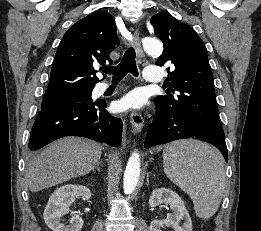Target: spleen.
<instances>
[{"label":"spleen","mask_w":261,"mask_h":231,"mask_svg":"<svg viewBox=\"0 0 261 231\" xmlns=\"http://www.w3.org/2000/svg\"><path fill=\"white\" fill-rule=\"evenodd\" d=\"M167 177L193 201L198 217H212L225 189L224 160L220 152L195 139L169 143L163 150Z\"/></svg>","instance_id":"1"}]
</instances>
